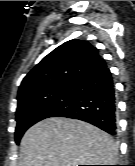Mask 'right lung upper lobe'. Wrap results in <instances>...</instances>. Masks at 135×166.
Listing matches in <instances>:
<instances>
[{
  "label": "right lung upper lobe",
  "mask_w": 135,
  "mask_h": 166,
  "mask_svg": "<svg viewBox=\"0 0 135 166\" xmlns=\"http://www.w3.org/2000/svg\"><path fill=\"white\" fill-rule=\"evenodd\" d=\"M105 64L88 41H67L44 57L23 79L18 90V106L45 97Z\"/></svg>",
  "instance_id": "right-lung-upper-lobe-1"
}]
</instances>
